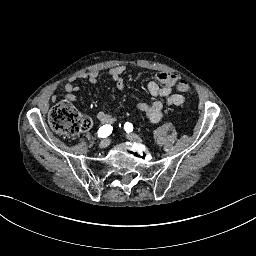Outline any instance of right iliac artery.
Listing matches in <instances>:
<instances>
[{"instance_id":"obj_1","label":"right iliac artery","mask_w":256,"mask_h":256,"mask_svg":"<svg viewBox=\"0 0 256 256\" xmlns=\"http://www.w3.org/2000/svg\"><path fill=\"white\" fill-rule=\"evenodd\" d=\"M113 127L111 125H103L98 130V137L106 138L112 133Z\"/></svg>"}]
</instances>
